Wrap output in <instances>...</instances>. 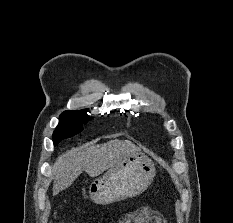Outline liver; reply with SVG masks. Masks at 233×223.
Segmentation results:
<instances>
[{
	"label": "liver",
	"mask_w": 233,
	"mask_h": 223,
	"mask_svg": "<svg viewBox=\"0 0 233 223\" xmlns=\"http://www.w3.org/2000/svg\"><path fill=\"white\" fill-rule=\"evenodd\" d=\"M135 143L128 139H111L107 143H84L80 147H72L67 153L57 157L52 165L53 193L57 195L62 189L72 185L80 173L86 171L90 177L100 175L117 159H121L124 153L135 151Z\"/></svg>",
	"instance_id": "obj_1"
}]
</instances>
